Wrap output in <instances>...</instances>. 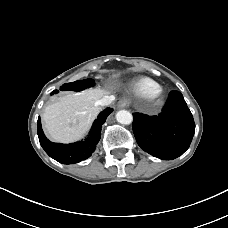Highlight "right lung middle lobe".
Wrapping results in <instances>:
<instances>
[{"instance_id":"1","label":"right lung middle lobe","mask_w":228,"mask_h":228,"mask_svg":"<svg viewBox=\"0 0 228 228\" xmlns=\"http://www.w3.org/2000/svg\"><path fill=\"white\" fill-rule=\"evenodd\" d=\"M94 80L92 79H85V80H78L72 83H66L64 84L60 90H74V91H81L86 88L94 86Z\"/></svg>"}]
</instances>
